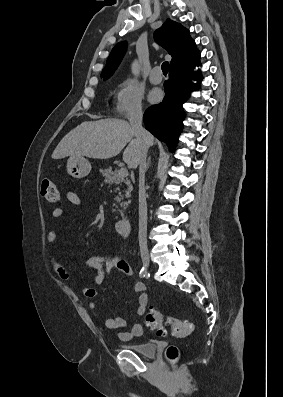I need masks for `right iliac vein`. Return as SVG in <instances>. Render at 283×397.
Listing matches in <instances>:
<instances>
[{"instance_id":"obj_1","label":"right iliac vein","mask_w":283,"mask_h":397,"mask_svg":"<svg viewBox=\"0 0 283 397\" xmlns=\"http://www.w3.org/2000/svg\"><path fill=\"white\" fill-rule=\"evenodd\" d=\"M142 263L145 269H148L150 260H149V255L147 253L142 254Z\"/></svg>"}]
</instances>
